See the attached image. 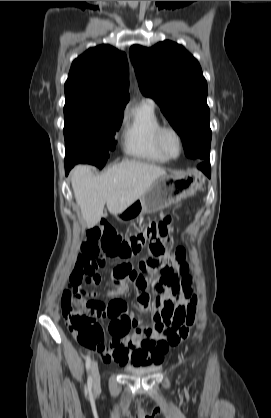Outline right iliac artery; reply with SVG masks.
Listing matches in <instances>:
<instances>
[{"instance_id": "1", "label": "right iliac artery", "mask_w": 271, "mask_h": 418, "mask_svg": "<svg viewBox=\"0 0 271 418\" xmlns=\"http://www.w3.org/2000/svg\"><path fill=\"white\" fill-rule=\"evenodd\" d=\"M90 367H91V358L87 357V359H86V369H87V372H88L87 386H88L89 391H91L92 385H93V379H92V376L90 374Z\"/></svg>"}]
</instances>
